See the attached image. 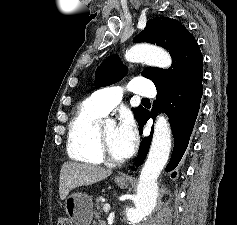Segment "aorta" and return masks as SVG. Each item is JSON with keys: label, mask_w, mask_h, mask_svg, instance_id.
<instances>
[{"label": "aorta", "mask_w": 237, "mask_h": 225, "mask_svg": "<svg viewBox=\"0 0 237 225\" xmlns=\"http://www.w3.org/2000/svg\"><path fill=\"white\" fill-rule=\"evenodd\" d=\"M125 58L129 62H145L160 68H168L171 65V57L166 51L147 44L131 47L126 51ZM170 150V125L164 116H159L155 122L151 148L140 173L134 207L126 211L129 224L140 223L154 208L158 194L156 181L168 161Z\"/></svg>", "instance_id": "762f6f07"}]
</instances>
